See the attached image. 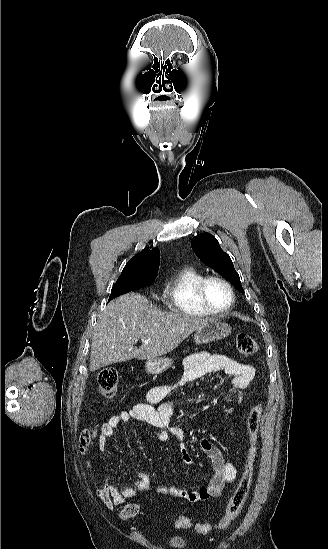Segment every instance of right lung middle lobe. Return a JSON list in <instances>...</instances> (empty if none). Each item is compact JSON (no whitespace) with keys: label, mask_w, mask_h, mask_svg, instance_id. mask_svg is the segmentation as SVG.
<instances>
[{"label":"right lung middle lobe","mask_w":328,"mask_h":549,"mask_svg":"<svg viewBox=\"0 0 328 549\" xmlns=\"http://www.w3.org/2000/svg\"><path fill=\"white\" fill-rule=\"evenodd\" d=\"M158 268V265L149 264L122 272L112 287L109 301L131 290L152 284L158 274Z\"/></svg>","instance_id":"right-lung-middle-lobe-1"}]
</instances>
